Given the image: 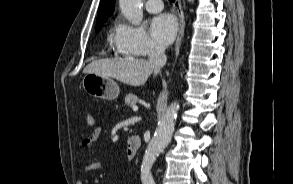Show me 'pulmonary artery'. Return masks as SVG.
<instances>
[{"label": "pulmonary artery", "mask_w": 293, "mask_h": 184, "mask_svg": "<svg viewBox=\"0 0 293 184\" xmlns=\"http://www.w3.org/2000/svg\"><path fill=\"white\" fill-rule=\"evenodd\" d=\"M145 8L149 13H158L163 9L161 0H147Z\"/></svg>", "instance_id": "pulmonary-artery-1"}]
</instances>
